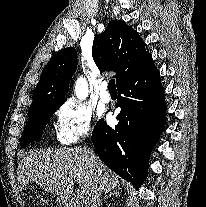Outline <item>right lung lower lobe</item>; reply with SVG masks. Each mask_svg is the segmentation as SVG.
I'll return each instance as SVG.
<instances>
[{"label": "right lung lower lobe", "instance_id": "1", "mask_svg": "<svg viewBox=\"0 0 206 207\" xmlns=\"http://www.w3.org/2000/svg\"><path fill=\"white\" fill-rule=\"evenodd\" d=\"M117 87L119 122L112 128L101 119L91 140L109 168L138 189L145 181L148 160L166 116L164 89L151 55Z\"/></svg>", "mask_w": 206, "mask_h": 207}]
</instances>
